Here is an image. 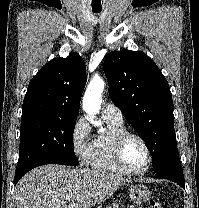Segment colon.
I'll return each mask as SVG.
<instances>
[{
	"label": "colon",
	"mask_w": 199,
	"mask_h": 208,
	"mask_svg": "<svg viewBox=\"0 0 199 208\" xmlns=\"http://www.w3.org/2000/svg\"><path fill=\"white\" fill-rule=\"evenodd\" d=\"M148 208H163V205L161 202H159L155 199H152L149 201Z\"/></svg>",
	"instance_id": "obj_1"
}]
</instances>
